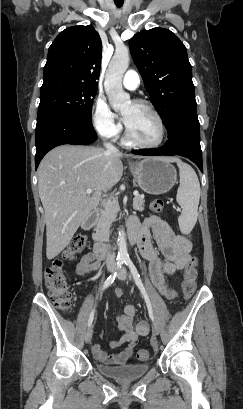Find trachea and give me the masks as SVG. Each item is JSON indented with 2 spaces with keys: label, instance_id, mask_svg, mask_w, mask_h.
I'll use <instances>...</instances> for the list:
<instances>
[{
  "label": "trachea",
  "instance_id": "obj_1",
  "mask_svg": "<svg viewBox=\"0 0 243 409\" xmlns=\"http://www.w3.org/2000/svg\"><path fill=\"white\" fill-rule=\"evenodd\" d=\"M123 2H124V0H119V1H116V0H115V4H116V6L119 7V8L123 5Z\"/></svg>",
  "mask_w": 243,
  "mask_h": 409
}]
</instances>
